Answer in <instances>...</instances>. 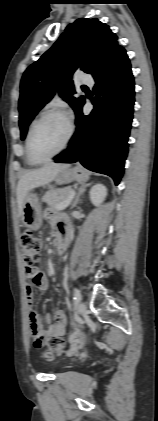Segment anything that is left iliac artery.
<instances>
[{
  "label": "left iliac artery",
  "mask_w": 158,
  "mask_h": 421,
  "mask_svg": "<svg viewBox=\"0 0 158 421\" xmlns=\"http://www.w3.org/2000/svg\"><path fill=\"white\" fill-rule=\"evenodd\" d=\"M73 295H74V300L75 302H80L81 301V293L77 288L73 289Z\"/></svg>",
  "instance_id": "44dca946"
}]
</instances>
